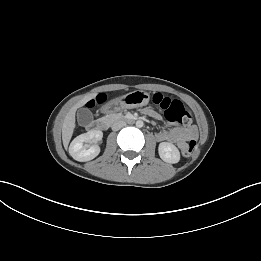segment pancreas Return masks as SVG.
Listing matches in <instances>:
<instances>
[{
  "instance_id": "obj_1",
  "label": "pancreas",
  "mask_w": 261,
  "mask_h": 261,
  "mask_svg": "<svg viewBox=\"0 0 261 261\" xmlns=\"http://www.w3.org/2000/svg\"><path fill=\"white\" fill-rule=\"evenodd\" d=\"M114 118H116V115H109L105 117L106 120H112Z\"/></svg>"
}]
</instances>
